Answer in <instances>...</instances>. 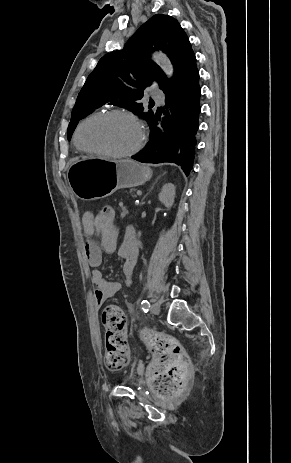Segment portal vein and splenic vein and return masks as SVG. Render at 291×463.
<instances>
[{
    "mask_svg": "<svg viewBox=\"0 0 291 463\" xmlns=\"http://www.w3.org/2000/svg\"><path fill=\"white\" fill-rule=\"evenodd\" d=\"M137 194L140 195V194H141V191H137Z\"/></svg>",
    "mask_w": 291,
    "mask_h": 463,
    "instance_id": "1",
    "label": "portal vein and splenic vein"
}]
</instances>
